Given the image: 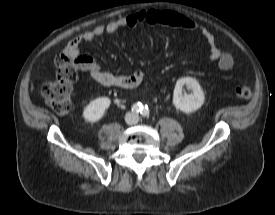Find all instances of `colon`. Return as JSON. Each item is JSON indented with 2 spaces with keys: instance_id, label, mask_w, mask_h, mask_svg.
Returning a JSON list of instances; mask_svg holds the SVG:
<instances>
[{
  "instance_id": "5ec220e1",
  "label": "colon",
  "mask_w": 275,
  "mask_h": 215,
  "mask_svg": "<svg viewBox=\"0 0 275 215\" xmlns=\"http://www.w3.org/2000/svg\"><path fill=\"white\" fill-rule=\"evenodd\" d=\"M56 75L47 81L41 89L45 103L57 114H67L71 109L72 86L77 80V73L71 61L60 55L56 59ZM236 95L240 99H249L252 90L246 85L236 88Z\"/></svg>"
}]
</instances>
